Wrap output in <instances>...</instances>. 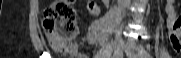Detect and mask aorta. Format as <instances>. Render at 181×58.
Returning <instances> with one entry per match:
<instances>
[{"instance_id":"762f6f07","label":"aorta","mask_w":181,"mask_h":58,"mask_svg":"<svg viewBox=\"0 0 181 58\" xmlns=\"http://www.w3.org/2000/svg\"><path fill=\"white\" fill-rule=\"evenodd\" d=\"M147 2H148V0H141V3L144 4V5H146Z\"/></svg>"}]
</instances>
